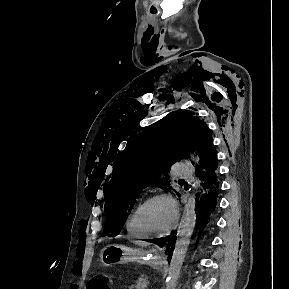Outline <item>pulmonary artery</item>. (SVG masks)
<instances>
[{
  "label": "pulmonary artery",
  "instance_id": "e3ab8cb5",
  "mask_svg": "<svg viewBox=\"0 0 289 289\" xmlns=\"http://www.w3.org/2000/svg\"><path fill=\"white\" fill-rule=\"evenodd\" d=\"M175 176L180 178H192L193 174L190 168V165L186 162H178L173 168Z\"/></svg>",
  "mask_w": 289,
  "mask_h": 289
}]
</instances>
